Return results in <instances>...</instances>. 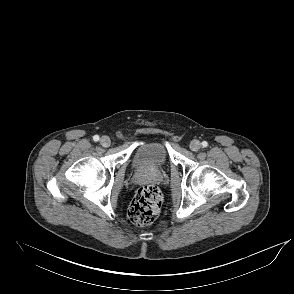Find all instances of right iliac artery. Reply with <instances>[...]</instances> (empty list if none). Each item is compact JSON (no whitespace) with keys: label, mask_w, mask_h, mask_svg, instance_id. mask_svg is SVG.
Wrapping results in <instances>:
<instances>
[{"label":"right iliac artery","mask_w":294,"mask_h":294,"mask_svg":"<svg viewBox=\"0 0 294 294\" xmlns=\"http://www.w3.org/2000/svg\"><path fill=\"white\" fill-rule=\"evenodd\" d=\"M93 140L96 142L99 141V136L98 135L93 136Z\"/></svg>","instance_id":"1"}]
</instances>
